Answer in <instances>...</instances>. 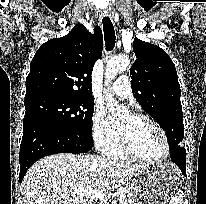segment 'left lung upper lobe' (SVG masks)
Returning a JSON list of instances; mask_svg holds the SVG:
<instances>
[{
  "label": "left lung upper lobe",
  "instance_id": "obj_1",
  "mask_svg": "<svg viewBox=\"0 0 206 204\" xmlns=\"http://www.w3.org/2000/svg\"><path fill=\"white\" fill-rule=\"evenodd\" d=\"M133 45L136 60L130 69L132 92L143 110L164 129L169 144L181 145L184 125L175 64L156 45L137 38Z\"/></svg>",
  "mask_w": 206,
  "mask_h": 204
}]
</instances>
